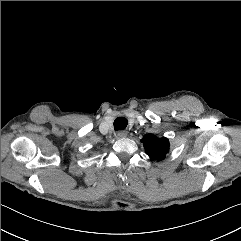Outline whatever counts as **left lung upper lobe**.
Segmentation results:
<instances>
[{
  "instance_id": "5c2ea615",
  "label": "left lung upper lobe",
  "mask_w": 241,
  "mask_h": 241,
  "mask_svg": "<svg viewBox=\"0 0 241 241\" xmlns=\"http://www.w3.org/2000/svg\"><path fill=\"white\" fill-rule=\"evenodd\" d=\"M146 154L152 160H163L169 151V141L167 138H157L155 135L148 134L142 139Z\"/></svg>"
}]
</instances>
